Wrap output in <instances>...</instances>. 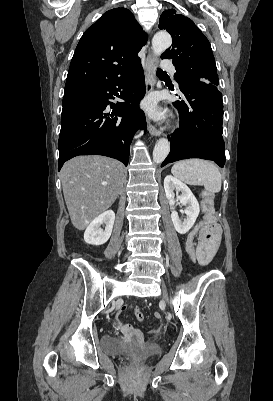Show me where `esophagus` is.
<instances>
[{
	"label": "esophagus",
	"mask_w": 273,
	"mask_h": 401,
	"mask_svg": "<svg viewBox=\"0 0 273 401\" xmlns=\"http://www.w3.org/2000/svg\"><path fill=\"white\" fill-rule=\"evenodd\" d=\"M155 62L156 57L152 53H149L145 62L146 95H149L155 88ZM147 127L151 135H154L155 137H159L161 135V131H159L149 119H147Z\"/></svg>",
	"instance_id": "1"
}]
</instances>
